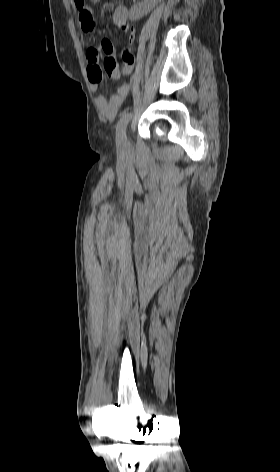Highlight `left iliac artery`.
<instances>
[{
    "instance_id": "obj_1",
    "label": "left iliac artery",
    "mask_w": 280,
    "mask_h": 472,
    "mask_svg": "<svg viewBox=\"0 0 280 472\" xmlns=\"http://www.w3.org/2000/svg\"><path fill=\"white\" fill-rule=\"evenodd\" d=\"M132 118V112H125L122 114L116 127V139L122 141L126 136L127 125Z\"/></svg>"
}]
</instances>
